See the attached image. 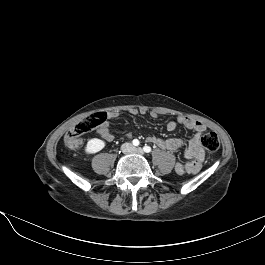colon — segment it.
Returning <instances> with one entry per match:
<instances>
[{
  "label": "colon",
  "instance_id": "obj_1",
  "mask_svg": "<svg viewBox=\"0 0 265 265\" xmlns=\"http://www.w3.org/2000/svg\"><path fill=\"white\" fill-rule=\"evenodd\" d=\"M106 119V113L95 112L79 124H77L73 129L68 131L64 137V143L69 148H77L82 143V136L97 126L101 125ZM202 146L209 152H216L219 150L220 141L215 132H205L201 136Z\"/></svg>",
  "mask_w": 265,
  "mask_h": 265
}]
</instances>
